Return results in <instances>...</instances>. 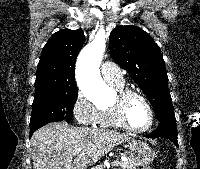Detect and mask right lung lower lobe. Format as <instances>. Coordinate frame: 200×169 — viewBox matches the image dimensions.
Listing matches in <instances>:
<instances>
[{
  "instance_id": "right-lung-lower-lobe-1",
  "label": "right lung lower lobe",
  "mask_w": 200,
  "mask_h": 169,
  "mask_svg": "<svg viewBox=\"0 0 200 169\" xmlns=\"http://www.w3.org/2000/svg\"><path fill=\"white\" fill-rule=\"evenodd\" d=\"M47 123H42V124H37L34 125L33 127H30V137L32 136V134L40 127L44 126Z\"/></svg>"
}]
</instances>
